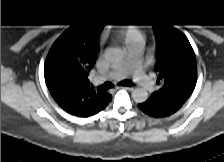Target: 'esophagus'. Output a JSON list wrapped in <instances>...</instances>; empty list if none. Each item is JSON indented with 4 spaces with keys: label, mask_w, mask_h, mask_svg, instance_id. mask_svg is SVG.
Instances as JSON below:
<instances>
[{
    "label": "esophagus",
    "mask_w": 224,
    "mask_h": 162,
    "mask_svg": "<svg viewBox=\"0 0 224 162\" xmlns=\"http://www.w3.org/2000/svg\"><path fill=\"white\" fill-rule=\"evenodd\" d=\"M119 88H124V89H126V90H133V87H117V89H119Z\"/></svg>",
    "instance_id": "1"
}]
</instances>
